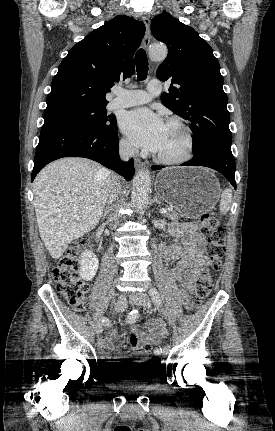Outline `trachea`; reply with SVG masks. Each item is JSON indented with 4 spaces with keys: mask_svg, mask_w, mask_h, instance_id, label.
Returning a JSON list of instances; mask_svg holds the SVG:
<instances>
[{
    "mask_svg": "<svg viewBox=\"0 0 275 431\" xmlns=\"http://www.w3.org/2000/svg\"><path fill=\"white\" fill-rule=\"evenodd\" d=\"M138 80H145L148 73V59L144 49L140 48L135 55Z\"/></svg>",
    "mask_w": 275,
    "mask_h": 431,
    "instance_id": "1",
    "label": "trachea"
}]
</instances>
